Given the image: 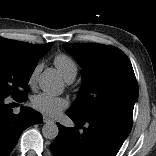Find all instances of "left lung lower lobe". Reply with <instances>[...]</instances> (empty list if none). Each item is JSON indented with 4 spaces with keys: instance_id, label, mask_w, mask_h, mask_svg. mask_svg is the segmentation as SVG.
Segmentation results:
<instances>
[{
    "instance_id": "left-lung-lower-lobe-1",
    "label": "left lung lower lobe",
    "mask_w": 156,
    "mask_h": 156,
    "mask_svg": "<svg viewBox=\"0 0 156 156\" xmlns=\"http://www.w3.org/2000/svg\"><path fill=\"white\" fill-rule=\"evenodd\" d=\"M66 114L76 125L68 128L57 123L59 133L50 145L54 156H115L133 123L132 115L114 109L91 114L67 110Z\"/></svg>"
}]
</instances>
